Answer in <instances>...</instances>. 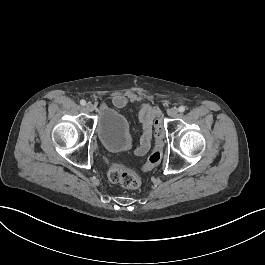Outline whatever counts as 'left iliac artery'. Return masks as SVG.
I'll return each mask as SVG.
<instances>
[{
    "label": "left iliac artery",
    "mask_w": 265,
    "mask_h": 265,
    "mask_svg": "<svg viewBox=\"0 0 265 265\" xmlns=\"http://www.w3.org/2000/svg\"><path fill=\"white\" fill-rule=\"evenodd\" d=\"M178 111L181 112V113L184 112V111H185V107H184V106H180V107L178 108Z\"/></svg>",
    "instance_id": "left-iliac-artery-1"
}]
</instances>
